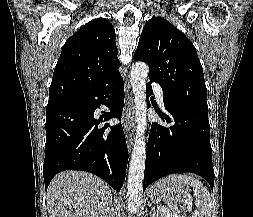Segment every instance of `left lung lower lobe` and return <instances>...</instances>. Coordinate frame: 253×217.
<instances>
[{
  "label": "left lung lower lobe",
  "instance_id": "obj_1",
  "mask_svg": "<svg viewBox=\"0 0 253 217\" xmlns=\"http://www.w3.org/2000/svg\"><path fill=\"white\" fill-rule=\"evenodd\" d=\"M152 93L151 82L146 86ZM169 116L159 114L171 124L152 123L146 152L143 191L152 182L172 173L192 172L202 176L213 190L214 170L210 144L208 108L163 96ZM148 102V107H150Z\"/></svg>",
  "mask_w": 253,
  "mask_h": 217
}]
</instances>
